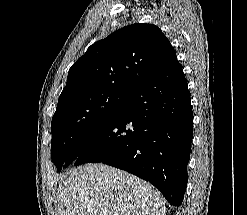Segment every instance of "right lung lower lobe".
Returning a JSON list of instances; mask_svg holds the SVG:
<instances>
[{
	"instance_id": "right-lung-lower-lobe-1",
	"label": "right lung lower lobe",
	"mask_w": 247,
	"mask_h": 215,
	"mask_svg": "<svg viewBox=\"0 0 247 215\" xmlns=\"http://www.w3.org/2000/svg\"><path fill=\"white\" fill-rule=\"evenodd\" d=\"M192 137L188 85L173 53L117 115L79 139L66 162H102L130 172L178 207L187 186Z\"/></svg>"
}]
</instances>
